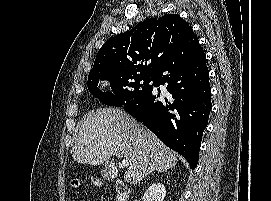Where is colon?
I'll return each mask as SVG.
<instances>
[{"instance_id": "5ec220e1", "label": "colon", "mask_w": 271, "mask_h": 201, "mask_svg": "<svg viewBox=\"0 0 271 201\" xmlns=\"http://www.w3.org/2000/svg\"><path fill=\"white\" fill-rule=\"evenodd\" d=\"M92 184L95 185V186L99 185V183L97 181H92Z\"/></svg>"}]
</instances>
